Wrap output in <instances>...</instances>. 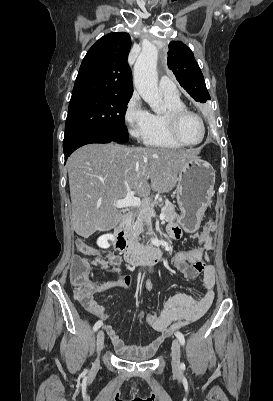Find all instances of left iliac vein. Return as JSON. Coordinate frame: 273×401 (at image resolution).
<instances>
[{"label": "left iliac vein", "instance_id": "left-iliac-vein-1", "mask_svg": "<svg viewBox=\"0 0 273 401\" xmlns=\"http://www.w3.org/2000/svg\"><path fill=\"white\" fill-rule=\"evenodd\" d=\"M171 349H172V370L175 374H179L181 369L180 343L177 339L173 340Z\"/></svg>", "mask_w": 273, "mask_h": 401}]
</instances>
